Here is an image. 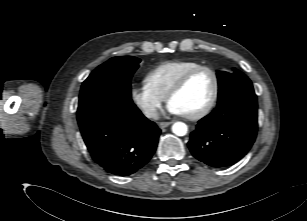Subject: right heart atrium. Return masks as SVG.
<instances>
[{
	"label": "right heart atrium",
	"mask_w": 307,
	"mask_h": 221,
	"mask_svg": "<svg viewBox=\"0 0 307 221\" xmlns=\"http://www.w3.org/2000/svg\"><path fill=\"white\" fill-rule=\"evenodd\" d=\"M130 97L136 107L149 119L157 116L164 98L152 92L145 84L136 85L130 91Z\"/></svg>",
	"instance_id": "1"
}]
</instances>
